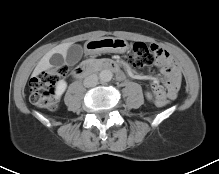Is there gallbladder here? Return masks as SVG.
<instances>
[{
	"mask_svg": "<svg viewBox=\"0 0 219 174\" xmlns=\"http://www.w3.org/2000/svg\"><path fill=\"white\" fill-rule=\"evenodd\" d=\"M83 55V49L80 45L74 44L67 50L66 62L69 65H75L80 61Z\"/></svg>",
	"mask_w": 219,
	"mask_h": 174,
	"instance_id": "bac80fb5",
	"label": "gallbladder"
}]
</instances>
